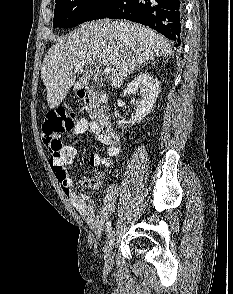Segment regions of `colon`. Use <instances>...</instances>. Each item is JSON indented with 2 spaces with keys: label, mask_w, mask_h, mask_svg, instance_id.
Returning <instances> with one entry per match:
<instances>
[{
  "label": "colon",
  "mask_w": 233,
  "mask_h": 294,
  "mask_svg": "<svg viewBox=\"0 0 233 294\" xmlns=\"http://www.w3.org/2000/svg\"><path fill=\"white\" fill-rule=\"evenodd\" d=\"M75 119L74 113L63 107L53 109L46 114L42 124V138L52 157L61 155L62 137L73 129ZM82 182L86 187L97 188L95 177H85Z\"/></svg>",
  "instance_id": "1"
}]
</instances>
